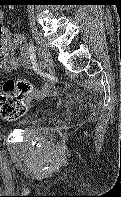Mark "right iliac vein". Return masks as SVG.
<instances>
[{
	"mask_svg": "<svg viewBox=\"0 0 121 197\" xmlns=\"http://www.w3.org/2000/svg\"><path fill=\"white\" fill-rule=\"evenodd\" d=\"M34 39L37 43L39 53L43 59L45 67L50 71L53 67V59L44 39L35 28H32Z\"/></svg>",
	"mask_w": 121,
	"mask_h": 197,
	"instance_id": "right-iliac-vein-1",
	"label": "right iliac vein"
}]
</instances>
